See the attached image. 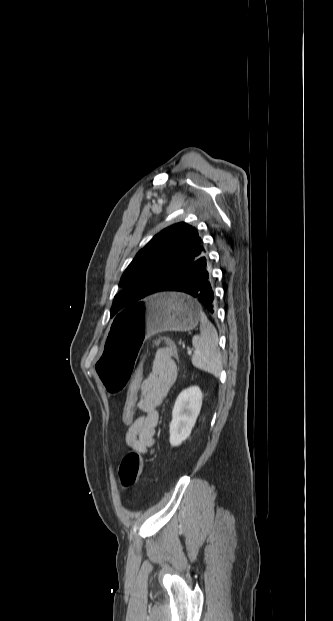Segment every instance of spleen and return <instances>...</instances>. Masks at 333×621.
Instances as JSON below:
<instances>
[{
    "mask_svg": "<svg viewBox=\"0 0 333 621\" xmlns=\"http://www.w3.org/2000/svg\"><path fill=\"white\" fill-rule=\"evenodd\" d=\"M192 345L195 349L192 364L219 377L222 371V356L218 347V334L205 314L200 321V335L193 337Z\"/></svg>",
    "mask_w": 333,
    "mask_h": 621,
    "instance_id": "3e777b00",
    "label": "spleen"
}]
</instances>
